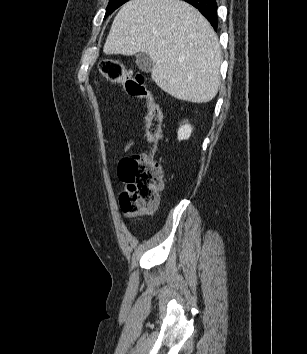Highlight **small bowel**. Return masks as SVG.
Returning <instances> with one entry per match:
<instances>
[{
  "label": "small bowel",
  "instance_id": "obj_1",
  "mask_svg": "<svg viewBox=\"0 0 307 354\" xmlns=\"http://www.w3.org/2000/svg\"><path fill=\"white\" fill-rule=\"evenodd\" d=\"M139 144V140L138 139H129L124 147H123V153L127 154L131 151L132 148H134L135 146H137Z\"/></svg>",
  "mask_w": 307,
  "mask_h": 354
}]
</instances>
